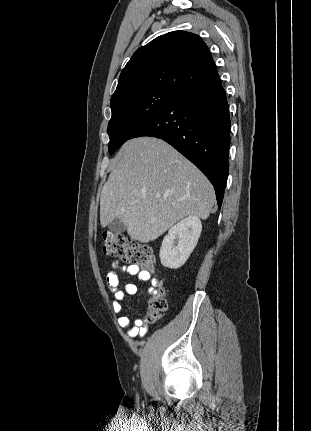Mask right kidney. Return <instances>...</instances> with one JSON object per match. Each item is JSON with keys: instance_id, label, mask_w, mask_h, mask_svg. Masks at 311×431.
Masks as SVG:
<instances>
[{"instance_id": "right-kidney-1", "label": "right kidney", "mask_w": 311, "mask_h": 431, "mask_svg": "<svg viewBox=\"0 0 311 431\" xmlns=\"http://www.w3.org/2000/svg\"><path fill=\"white\" fill-rule=\"evenodd\" d=\"M202 231L201 219L189 216L175 223L165 235L160 247V261L165 267L177 269L185 263L193 251ZM175 239L178 245H175Z\"/></svg>"}]
</instances>
